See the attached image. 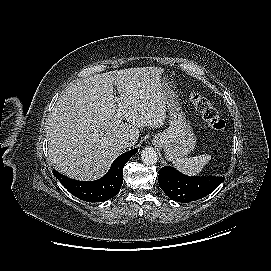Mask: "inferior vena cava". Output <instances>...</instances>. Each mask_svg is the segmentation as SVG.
<instances>
[{"label": "inferior vena cava", "mask_w": 271, "mask_h": 271, "mask_svg": "<svg viewBox=\"0 0 271 271\" xmlns=\"http://www.w3.org/2000/svg\"><path fill=\"white\" fill-rule=\"evenodd\" d=\"M133 144L134 143H133L131 137H129L128 135H124L118 140V145L121 148L131 147V146H133Z\"/></svg>", "instance_id": "obj_1"}]
</instances>
